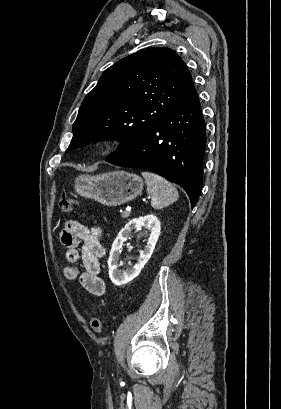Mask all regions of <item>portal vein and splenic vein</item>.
Masks as SVG:
<instances>
[{"label":"portal vein and splenic vein","instance_id":"portal-vein-and-splenic-vein-1","mask_svg":"<svg viewBox=\"0 0 281 409\" xmlns=\"http://www.w3.org/2000/svg\"><path fill=\"white\" fill-rule=\"evenodd\" d=\"M140 201H141V202H146V201H147V198H146V197H141V198H140ZM127 205H128V204H127ZM127 205H126V207H127ZM121 213H123V219H124V220H127V219H128V216H130V213H128V210H126V209L121 210Z\"/></svg>","mask_w":281,"mask_h":409}]
</instances>
